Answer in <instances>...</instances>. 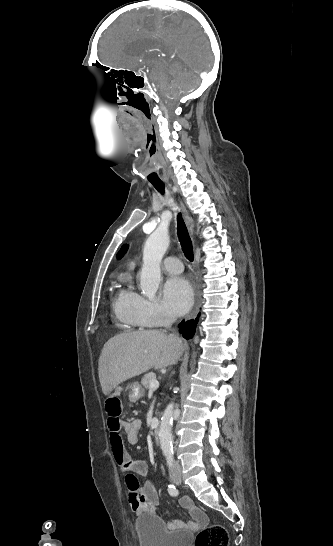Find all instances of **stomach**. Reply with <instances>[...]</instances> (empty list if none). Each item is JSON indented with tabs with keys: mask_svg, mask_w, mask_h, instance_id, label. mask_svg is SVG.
<instances>
[{
	"mask_svg": "<svg viewBox=\"0 0 333 546\" xmlns=\"http://www.w3.org/2000/svg\"><path fill=\"white\" fill-rule=\"evenodd\" d=\"M144 395V389L138 383H132L129 386V398L132 401H137Z\"/></svg>",
	"mask_w": 333,
	"mask_h": 546,
	"instance_id": "1",
	"label": "stomach"
}]
</instances>
